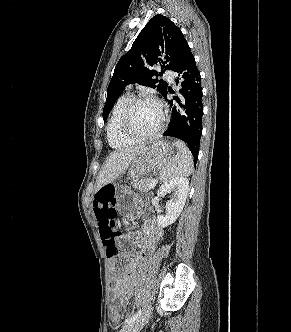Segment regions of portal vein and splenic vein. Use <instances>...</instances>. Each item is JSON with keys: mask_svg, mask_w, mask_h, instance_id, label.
I'll use <instances>...</instances> for the list:
<instances>
[{"mask_svg": "<svg viewBox=\"0 0 291 332\" xmlns=\"http://www.w3.org/2000/svg\"><path fill=\"white\" fill-rule=\"evenodd\" d=\"M157 182H158V181H157L156 179H153V180L151 181V183H150L149 188H150V189L154 188V187L156 186Z\"/></svg>", "mask_w": 291, "mask_h": 332, "instance_id": "1", "label": "portal vein and splenic vein"}]
</instances>
